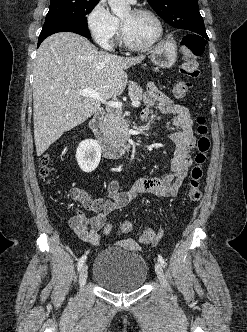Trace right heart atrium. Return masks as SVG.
Instances as JSON below:
<instances>
[{
	"mask_svg": "<svg viewBox=\"0 0 247 332\" xmlns=\"http://www.w3.org/2000/svg\"><path fill=\"white\" fill-rule=\"evenodd\" d=\"M86 23L94 41L99 46L105 49L112 48L120 24L104 0H99L90 10Z\"/></svg>",
	"mask_w": 247,
	"mask_h": 332,
	"instance_id": "1",
	"label": "right heart atrium"
}]
</instances>
